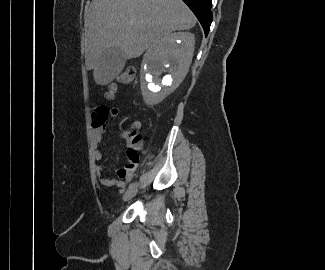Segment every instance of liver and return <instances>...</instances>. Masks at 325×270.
I'll use <instances>...</instances> for the list:
<instances>
[{
	"instance_id": "6515ba94",
	"label": "liver",
	"mask_w": 325,
	"mask_h": 270,
	"mask_svg": "<svg viewBox=\"0 0 325 270\" xmlns=\"http://www.w3.org/2000/svg\"><path fill=\"white\" fill-rule=\"evenodd\" d=\"M196 17L182 0H92L85 10V63L94 69L99 85L107 80L97 73L101 55L111 47L125 59L141 56L173 31L189 30Z\"/></svg>"
}]
</instances>
